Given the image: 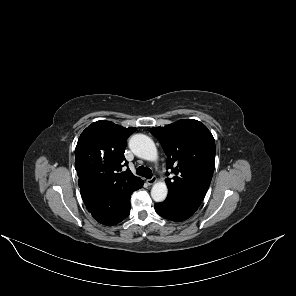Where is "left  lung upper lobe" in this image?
<instances>
[{
  "mask_svg": "<svg viewBox=\"0 0 296 296\" xmlns=\"http://www.w3.org/2000/svg\"><path fill=\"white\" fill-rule=\"evenodd\" d=\"M167 155V198L201 203L209 188L215 166V141L208 128L197 120H179L150 129ZM168 174V173H167Z\"/></svg>",
  "mask_w": 296,
  "mask_h": 296,
  "instance_id": "obj_1",
  "label": "left lung upper lobe"
}]
</instances>
